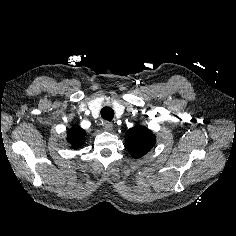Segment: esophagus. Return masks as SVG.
<instances>
[{
	"label": "esophagus",
	"instance_id": "34e87169",
	"mask_svg": "<svg viewBox=\"0 0 236 236\" xmlns=\"http://www.w3.org/2000/svg\"><path fill=\"white\" fill-rule=\"evenodd\" d=\"M102 126L105 131H111L113 129V124L109 121H104Z\"/></svg>",
	"mask_w": 236,
	"mask_h": 236
}]
</instances>
